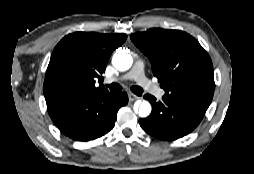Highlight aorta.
<instances>
[{"label": "aorta", "instance_id": "aorta-1", "mask_svg": "<svg viewBox=\"0 0 254 174\" xmlns=\"http://www.w3.org/2000/svg\"><path fill=\"white\" fill-rule=\"evenodd\" d=\"M133 63L132 56L126 51H118L113 55L112 64L119 71L128 70ZM151 105L148 101H142L138 107V115L146 118L151 113Z\"/></svg>", "mask_w": 254, "mask_h": 174}]
</instances>
